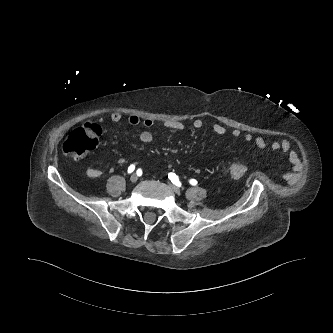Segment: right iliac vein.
<instances>
[{"label":"right iliac vein","mask_w":333,"mask_h":333,"mask_svg":"<svg viewBox=\"0 0 333 333\" xmlns=\"http://www.w3.org/2000/svg\"><path fill=\"white\" fill-rule=\"evenodd\" d=\"M138 180V176L136 174H132L131 177H130V181L132 183H136Z\"/></svg>","instance_id":"right-iliac-vein-1"}]
</instances>
